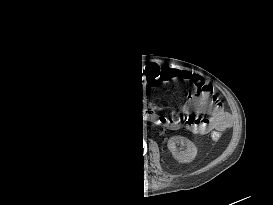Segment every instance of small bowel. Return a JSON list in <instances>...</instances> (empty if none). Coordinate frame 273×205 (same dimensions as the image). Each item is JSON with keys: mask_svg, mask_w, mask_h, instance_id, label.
Wrapping results in <instances>:
<instances>
[{"mask_svg": "<svg viewBox=\"0 0 273 205\" xmlns=\"http://www.w3.org/2000/svg\"><path fill=\"white\" fill-rule=\"evenodd\" d=\"M182 77L184 80L192 81L197 85L203 86L198 97L189 98L184 104V111L193 112L196 115L204 114L206 117H195L183 122L170 121L167 122L169 128H179L185 126L191 132L196 134L207 133L212 129L222 130L226 128L230 121V115L223 109L221 103L211 97L212 87L203 82V79L188 71L172 70L171 78Z\"/></svg>", "mask_w": 273, "mask_h": 205, "instance_id": "1", "label": "small bowel"}]
</instances>
